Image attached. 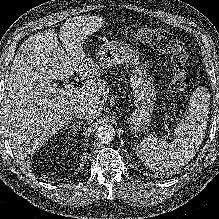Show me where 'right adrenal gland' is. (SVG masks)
<instances>
[{"instance_id": "right-adrenal-gland-1", "label": "right adrenal gland", "mask_w": 219, "mask_h": 219, "mask_svg": "<svg viewBox=\"0 0 219 219\" xmlns=\"http://www.w3.org/2000/svg\"><path fill=\"white\" fill-rule=\"evenodd\" d=\"M83 121H80V120H76L75 123H73L71 126L70 125H67L64 129V132L69 129L70 127L73 128V134L75 135V133L77 132V129L80 128V124H82Z\"/></svg>"}]
</instances>
